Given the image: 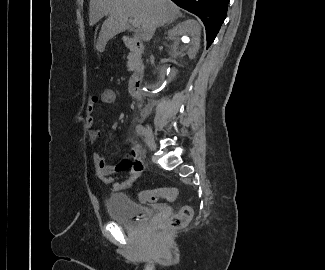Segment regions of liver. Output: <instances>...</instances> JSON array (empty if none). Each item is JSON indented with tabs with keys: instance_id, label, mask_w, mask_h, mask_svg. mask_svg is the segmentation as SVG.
I'll list each match as a JSON object with an SVG mask.
<instances>
[{
	"instance_id": "1",
	"label": "liver",
	"mask_w": 325,
	"mask_h": 270,
	"mask_svg": "<svg viewBox=\"0 0 325 270\" xmlns=\"http://www.w3.org/2000/svg\"><path fill=\"white\" fill-rule=\"evenodd\" d=\"M179 13V7L170 0H90L89 3L90 25L108 16L97 42L100 51L107 41L127 29L128 17L140 22L143 40L150 41L158 27L173 20Z\"/></svg>"
}]
</instances>
